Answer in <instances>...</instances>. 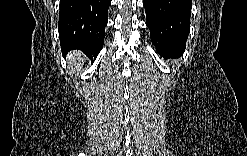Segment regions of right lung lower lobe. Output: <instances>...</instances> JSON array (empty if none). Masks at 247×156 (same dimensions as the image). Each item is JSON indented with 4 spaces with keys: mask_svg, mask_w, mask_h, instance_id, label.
<instances>
[{
    "mask_svg": "<svg viewBox=\"0 0 247 156\" xmlns=\"http://www.w3.org/2000/svg\"><path fill=\"white\" fill-rule=\"evenodd\" d=\"M111 0H60L59 36L62 53L77 49L96 58L104 44Z\"/></svg>",
    "mask_w": 247,
    "mask_h": 156,
    "instance_id": "right-lung-lower-lobe-1",
    "label": "right lung lower lobe"
}]
</instances>
